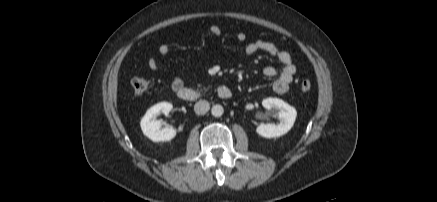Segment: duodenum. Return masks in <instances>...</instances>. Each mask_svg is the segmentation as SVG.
I'll return each instance as SVG.
<instances>
[{
	"label": "duodenum",
	"instance_id": "duodenum-1",
	"mask_svg": "<svg viewBox=\"0 0 437 202\" xmlns=\"http://www.w3.org/2000/svg\"><path fill=\"white\" fill-rule=\"evenodd\" d=\"M216 94L221 99H229L232 96L231 90L227 86H220L216 90ZM210 94L208 92L192 89L188 87H182L177 91V96L183 101H198L208 97Z\"/></svg>",
	"mask_w": 437,
	"mask_h": 202
}]
</instances>
